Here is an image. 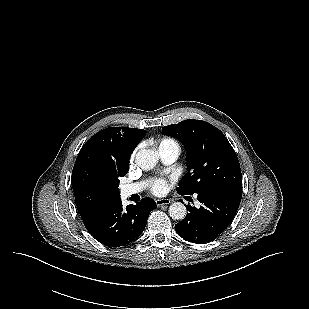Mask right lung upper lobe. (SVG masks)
<instances>
[{"label":"right lung upper lobe","instance_id":"right-lung-upper-lobe-1","mask_svg":"<svg viewBox=\"0 0 309 309\" xmlns=\"http://www.w3.org/2000/svg\"><path fill=\"white\" fill-rule=\"evenodd\" d=\"M146 130L111 127L96 133L77 156L71 184L82 220L120 199L114 177L128 171L130 156Z\"/></svg>","mask_w":309,"mask_h":309}]
</instances>
